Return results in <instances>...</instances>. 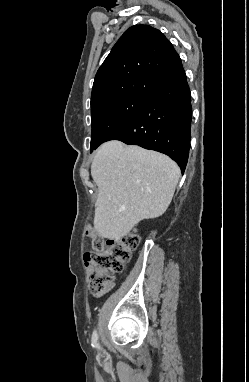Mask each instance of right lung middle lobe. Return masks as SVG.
I'll return each instance as SVG.
<instances>
[{"mask_svg":"<svg viewBox=\"0 0 249 382\" xmlns=\"http://www.w3.org/2000/svg\"><path fill=\"white\" fill-rule=\"evenodd\" d=\"M149 100L143 96H126L91 110V147L96 149L115 132L126 126Z\"/></svg>","mask_w":249,"mask_h":382,"instance_id":"dd1d6c3e","label":"right lung middle lobe"}]
</instances>
